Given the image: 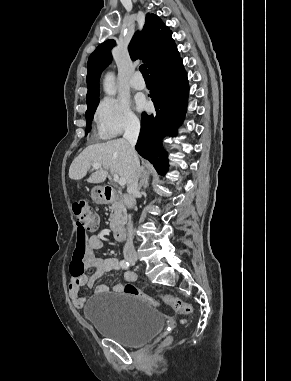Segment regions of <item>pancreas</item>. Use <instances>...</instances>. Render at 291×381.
I'll list each match as a JSON object with an SVG mask.
<instances>
[{
	"label": "pancreas",
	"instance_id": "obj_1",
	"mask_svg": "<svg viewBox=\"0 0 291 381\" xmlns=\"http://www.w3.org/2000/svg\"><path fill=\"white\" fill-rule=\"evenodd\" d=\"M110 228L116 229L119 225L124 224L126 221V209L121 201L114 202L110 207Z\"/></svg>",
	"mask_w": 291,
	"mask_h": 381
}]
</instances>
